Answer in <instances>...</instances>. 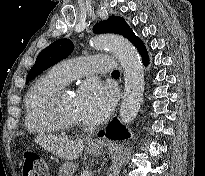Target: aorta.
Segmentation results:
<instances>
[{"label": "aorta", "mask_w": 205, "mask_h": 176, "mask_svg": "<svg viewBox=\"0 0 205 176\" xmlns=\"http://www.w3.org/2000/svg\"><path fill=\"white\" fill-rule=\"evenodd\" d=\"M91 47L109 49L124 71L125 90L119 116L123 124L134 120L140 109L144 92V68L136 48L123 36L105 34L90 39Z\"/></svg>", "instance_id": "762f6f07"}]
</instances>
